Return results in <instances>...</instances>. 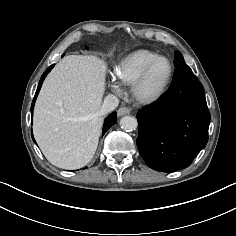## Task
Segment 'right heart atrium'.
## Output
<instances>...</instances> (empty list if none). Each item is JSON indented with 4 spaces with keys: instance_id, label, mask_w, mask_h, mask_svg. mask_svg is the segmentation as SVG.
I'll return each instance as SVG.
<instances>
[{
    "instance_id": "obj_1",
    "label": "right heart atrium",
    "mask_w": 236,
    "mask_h": 236,
    "mask_svg": "<svg viewBox=\"0 0 236 236\" xmlns=\"http://www.w3.org/2000/svg\"><path fill=\"white\" fill-rule=\"evenodd\" d=\"M111 89L114 91V92H117V93H119V92H121V88H120V86L117 84V83H111Z\"/></svg>"
}]
</instances>
